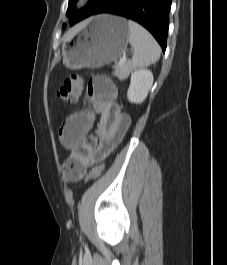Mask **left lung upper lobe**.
<instances>
[{
  "instance_id": "5c2ea615",
  "label": "left lung upper lobe",
  "mask_w": 227,
  "mask_h": 265,
  "mask_svg": "<svg viewBox=\"0 0 227 265\" xmlns=\"http://www.w3.org/2000/svg\"><path fill=\"white\" fill-rule=\"evenodd\" d=\"M105 1L106 0H90L85 8L79 11H75L74 4L77 2V0H69V6L66 15L69 17L70 25H73L80 20L90 16Z\"/></svg>"
}]
</instances>
